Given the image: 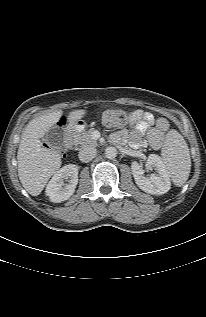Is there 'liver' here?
<instances>
[{"instance_id": "obj_1", "label": "liver", "mask_w": 206, "mask_h": 317, "mask_svg": "<svg viewBox=\"0 0 206 317\" xmlns=\"http://www.w3.org/2000/svg\"><path fill=\"white\" fill-rule=\"evenodd\" d=\"M86 114V110H73L67 120L74 123ZM62 110L41 115L31 120L22 133L17 152L18 176L24 189L32 196H38L49 178L61 166L60 154L43 147L41 140L61 119Z\"/></svg>"}]
</instances>
